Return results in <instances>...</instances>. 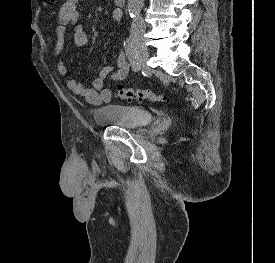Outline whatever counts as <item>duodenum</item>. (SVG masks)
<instances>
[{
    "mask_svg": "<svg viewBox=\"0 0 275 263\" xmlns=\"http://www.w3.org/2000/svg\"><path fill=\"white\" fill-rule=\"evenodd\" d=\"M114 1L120 7L126 4V0H114Z\"/></svg>",
    "mask_w": 275,
    "mask_h": 263,
    "instance_id": "1",
    "label": "duodenum"
}]
</instances>
